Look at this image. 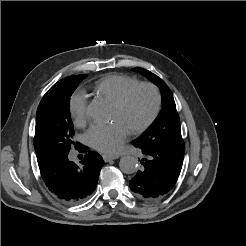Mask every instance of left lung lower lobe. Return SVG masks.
Wrapping results in <instances>:
<instances>
[{
	"label": "left lung lower lobe",
	"mask_w": 246,
	"mask_h": 246,
	"mask_svg": "<svg viewBox=\"0 0 246 246\" xmlns=\"http://www.w3.org/2000/svg\"><path fill=\"white\" fill-rule=\"evenodd\" d=\"M144 155L142 169L129 181L131 190L141 199L154 200L166 195L175 185L181 172L184 151L161 146H140Z\"/></svg>",
	"instance_id": "left-lung-lower-lobe-1"
}]
</instances>
